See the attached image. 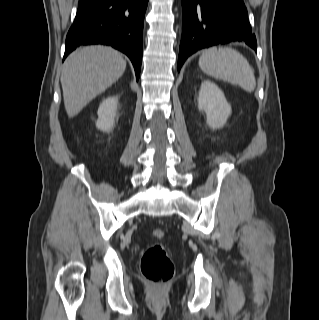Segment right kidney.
<instances>
[{"label": "right kidney", "instance_id": "1", "mask_svg": "<svg viewBox=\"0 0 319 320\" xmlns=\"http://www.w3.org/2000/svg\"><path fill=\"white\" fill-rule=\"evenodd\" d=\"M118 105V97H108L100 103L96 127L104 132H109L115 125V115Z\"/></svg>", "mask_w": 319, "mask_h": 320}]
</instances>
